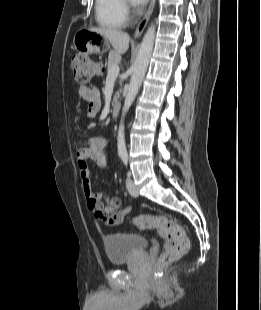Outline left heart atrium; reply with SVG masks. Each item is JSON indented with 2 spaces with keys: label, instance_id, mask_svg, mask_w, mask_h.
<instances>
[{
  "label": "left heart atrium",
  "instance_id": "left-heart-atrium-1",
  "mask_svg": "<svg viewBox=\"0 0 261 310\" xmlns=\"http://www.w3.org/2000/svg\"><path fill=\"white\" fill-rule=\"evenodd\" d=\"M131 2L135 5L142 6L145 5L148 2V0H131Z\"/></svg>",
  "mask_w": 261,
  "mask_h": 310
}]
</instances>
